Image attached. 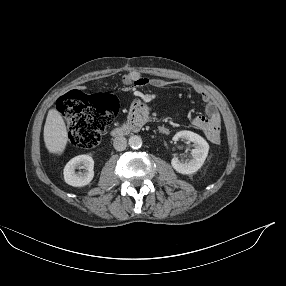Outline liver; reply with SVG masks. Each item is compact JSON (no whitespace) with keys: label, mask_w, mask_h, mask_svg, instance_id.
Instances as JSON below:
<instances>
[{"label":"liver","mask_w":286,"mask_h":286,"mask_svg":"<svg viewBox=\"0 0 286 286\" xmlns=\"http://www.w3.org/2000/svg\"><path fill=\"white\" fill-rule=\"evenodd\" d=\"M44 142L50 153L63 154L67 142L68 132L61 114L56 109H50L44 126Z\"/></svg>","instance_id":"obj_1"}]
</instances>
